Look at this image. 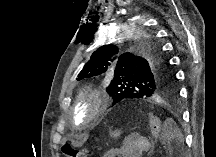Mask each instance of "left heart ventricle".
<instances>
[{
    "instance_id": "obj_1",
    "label": "left heart ventricle",
    "mask_w": 216,
    "mask_h": 157,
    "mask_svg": "<svg viewBox=\"0 0 216 157\" xmlns=\"http://www.w3.org/2000/svg\"><path fill=\"white\" fill-rule=\"evenodd\" d=\"M85 116H86L85 112H84V111H81V112L79 113V115H78V121L84 119Z\"/></svg>"
}]
</instances>
